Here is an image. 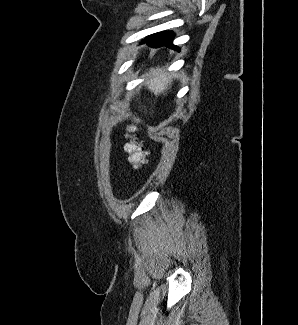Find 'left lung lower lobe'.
I'll list each match as a JSON object with an SVG mask.
<instances>
[{"label": "left lung lower lobe", "instance_id": "left-lung-lower-lobe-1", "mask_svg": "<svg viewBox=\"0 0 298 325\" xmlns=\"http://www.w3.org/2000/svg\"><path fill=\"white\" fill-rule=\"evenodd\" d=\"M173 36L174 34L172 32H161L146 37V39L143 40V42H147L153 47H160L165 45L179 51V48L172 45Z\"/></svg>", "mask_w": 298, "mask_h": 325}]
</instances>
